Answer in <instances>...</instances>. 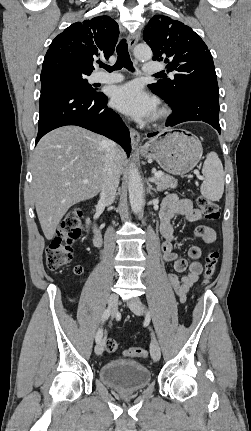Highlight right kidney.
Returning a JSON list of instances; mask_svg holds the SVG:
<instances>
[{
    "mask_svg": "<svg viewBox=\"0 0 251 431\" xmlns=\"http://www.w3.org/2000/svg\"><path fill=\"white\" fill-rule=\"evenodd\" d=\"M86 224H87V225H89V224H90V219H89V218L86 220Z\"/></svg>",
    "mask_w": 251,
    "mask_h": 431,
    "instance_id": "1",
    "label": "right kidney"
}]
</instances>
